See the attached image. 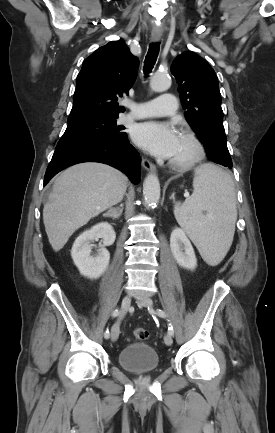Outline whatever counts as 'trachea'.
Segmentation results:
<instances>
[{
  "label": "trachea",
  "mask_w": 275,
  "mask_h": 433,
  "mask_svg": "<svg viewBox=\"0 0 275 433\" xmlns=\"http://www.w3.org/2000/svg\"><path fill=\"white\" fill-rule=\"evenodd\" d=\"M159 54V44L158 43H152L149 46V50L147 52L145 61H144V73L145 75H148L152 68L154 67L157 57Z\"/></svg>",
  "instance_id": "1"
}]
</instances>
